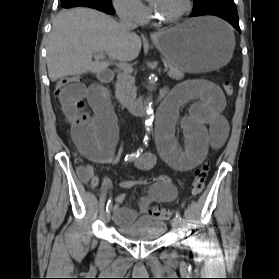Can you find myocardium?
Segmentation results:
<instances>
[{
	"label": "myocardium",
	"instance_id": "obj_1",
	"mask_svg": "<svg viewBox=\"0 0 279 279\" xmlns=\"http://www.w3.org/2000/svg\"><path fill=\"white\" fill-rule=\"evenodd\" d=\"M192 5H193L192 0H185L184 7L175 16L165 18V17H160L156 13H154V18L160 23H165V24L176 23L189 14V12L192 9Z\"/></svg>",
	"mask_w": 279,
	"mask_h": 279
}]
</instances>
